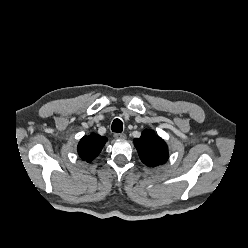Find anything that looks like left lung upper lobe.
Returning a JSON list of instances; mask_svg holds the SVG:
<instances>
[{
	"instance_id": "1",
	"label": "left lung upper lobe",
	"mask_w": 248,
	"mask_h": 248,
	"mask_svg": "<svg viewBox=\"0 0 248 248\" xmlns=\"http://www.w3.org/2000/svg\"><path fill=\"white\" fill-rule=\"evenodd\" d=\"M134 144L141 161L147 166L156 167L168 160V147L153 130L143 131L140 138L134 139Z\"/></svg>"
}]
</instances>
